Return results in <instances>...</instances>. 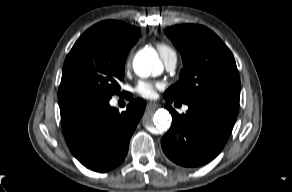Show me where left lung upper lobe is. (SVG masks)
<instances>
[{
	"mask_svg": "<svg viewBox=\"0 0 292 192\" xmlns=\"http://www.w3.org/2000/svg\"><path fill=\"white\" fill-rule=\"evenodd\" d=\"M183 60L179 81L164 97L185 104L226 102L239 105L240 79L235 59L210 29L194 24L165 30Z\"/></svg>",
	"mask_w": 292,
	"mask_h": 192,
	"instance_id": "1",
	"label": "left lung upper lobe"
}]
</instances>
